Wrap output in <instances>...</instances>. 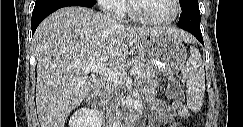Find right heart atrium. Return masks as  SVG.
Here are the masks:
<instances>
[{"label":"right heart atrium","instance_id":"d8ad5b80","mask_svg":"<svg viewBox=\"0 0 243 127\" xmlns=\"http://www.w3.org/2000/svg\"><path fill=\"white\" fill-rule=\"evenodd\" d=\"M122 0H98L101 9L109 15H120L124 11Z\"/></svg>","mask_w":243,"mask_h":127}]
</instances>
